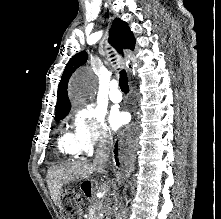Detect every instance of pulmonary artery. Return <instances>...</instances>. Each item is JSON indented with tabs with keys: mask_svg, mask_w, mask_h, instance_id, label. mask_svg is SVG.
<instances>
[{
	"mask_svg": "<svg viewBox=\"0 0 221 219\" xmlns=\"http://www.w3.org/2000/svg\"><path fill=\"white\" fill-rule=\"evenodd\" d=\"M109 98L114 103H119L122 101V94L119 91V84L117 81H112L110 83V92H109Z\"/></svg>",
	"mask_w": 221,
	"mask_h": 219,
	"instance_id": "1",
	"label": "pulmonary artery"
}]
</instances>
